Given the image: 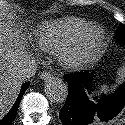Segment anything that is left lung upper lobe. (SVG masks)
<instances>
[{"mask_svg":"<svg viewBox=\"0 0 125 125\" xmlns=\"http://www.w3.org/2000/svg\"><path fill=\"white\" fill-rule=\"evenodd\" d=\"M116 36L119 41H121L125 45V26L120 24L117 31Z\"/></svg>","mask_w":125,"mask_h":125,"instance_id":"obj_1","label":"left lung upper lobe"}]
</instances>
